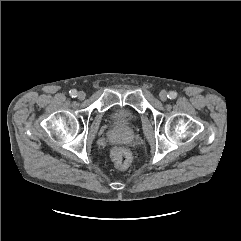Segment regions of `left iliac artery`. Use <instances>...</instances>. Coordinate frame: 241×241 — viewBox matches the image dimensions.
<instances>
[{
    "mask_svg": "<svg viewBox=\"0 0 241 241\" xmlns=\"http://www.w3.org/2000/svg\"><path fill=\"white\" fill-rule=\"evenodd\" d=\"M167 97H168L169 99H175V98L177 97V93L174 92V91H171V92H169V94L167 95Z\"/></svg>",
    "mask_w": 241,
    "mask_h": 241,
    "instance_id": "1",
    "label": "left iliac artery"
}]
</instances>
